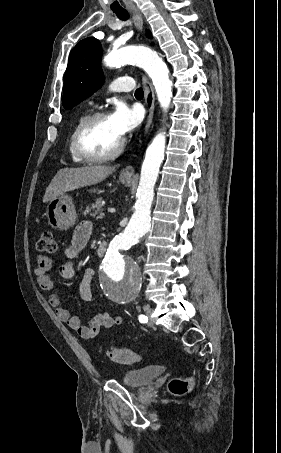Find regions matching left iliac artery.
Returning a JSON list of instances; mask_svg holds the SVG:
<instances>
[{"label": "left iliac artery", "mask_w": 281, "mask_h": 453, "mask_svg": "<svg viewBox=\"0 0 281 453\" xmlns=\"http://www.w3.org/2000/svg\"><path fill=\"white\" fill-rule=\"evenodd\" d=\"M139 321H140L141 323H147V322H148V317L145 316V315H140V316H139Z\"/></svg>", "instance_id": "44dca946"}]
</instances>
